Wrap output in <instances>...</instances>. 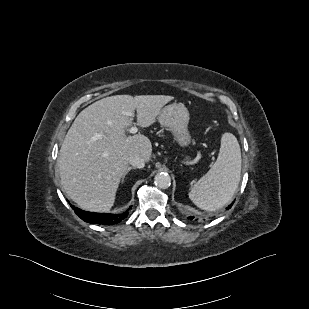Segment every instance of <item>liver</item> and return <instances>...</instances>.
<instances>
[{
  "instance_id": "1",
  "label": "liver",
  "mask_w": 309,
  "mask_h": 309,
  "mask_svg": "<svg viewBox=\"0 0 309 309\" xmlns=\"http://www.w3.org/2000/svg\"><path fill=\"white\" fill-rule=\"evenodd\" d=\"M173 99L166 95H115L79 113L62 143L58 167L65 193L80 208L108 212L129 158L139 154L149 162L152 145L148 137L126 133L133 123L129 113L136 110L137 124L148 127Z\"/></svg>"
}]
</instances>
